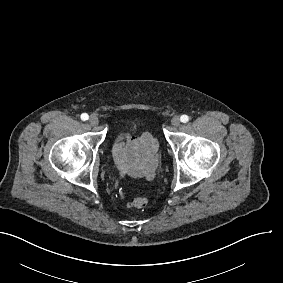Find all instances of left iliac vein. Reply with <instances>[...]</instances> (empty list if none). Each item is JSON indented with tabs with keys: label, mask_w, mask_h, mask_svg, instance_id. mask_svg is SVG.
I'll list each match as a JSON object with an SVG mask.
<instances>
[{
	"label": "left iliac vein",
	"mask_w": 283,
	"mask_h": 283,
	"mask_svg": "<svg viewBox=\"0 0 283 283\" xmlns=\"http://www.w3.org/2000/svg\"><path fill=\"white\" fill-rule=\"evenodd\" d=\"M171 125L175 128L179 127L180 125V118L178 116H174L171 121H170Z\"/></svg>",
	"instance_id": "obj_1"
}]
</instances>
